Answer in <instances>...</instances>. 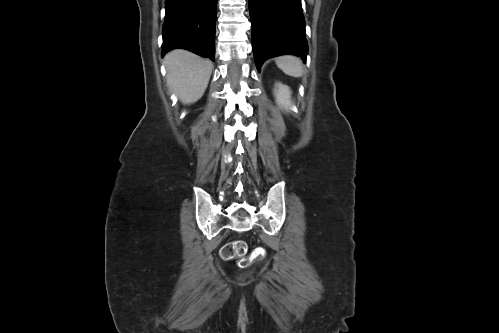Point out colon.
Segmentation results:
<instances>
[{
    "label": "colon",
    "mask_w": 499,
    "mask_h": 333,
    "mask_svg": "<svg viewBox=\"0 0 499 333\" xmlns=\"http://www.w3.org/2000/svg\"><path fill=\"white\" fill-rule=\"evenodd\" d=\"M259 255H263V251H256L251 256H247V244L242 240L229 242L221 249V256L224 259H235L241 268L248 267Z\"/></svg>",
    "instance_id": "5ec220e1"
}]
</instances>
